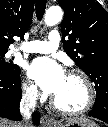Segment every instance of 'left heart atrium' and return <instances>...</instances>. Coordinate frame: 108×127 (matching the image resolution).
<instances>
[{
	"mask_svg": "<svg viewBox=\"0 0 108 127\" xmlns=\"http://www.w3.org/2000/svg\"><path fill=\"white\" fill-rule=\"evenodd\" d=\"M29 73L31 78L48 94H55L65 78L61 66L47 58L36 59L31 64Z\"/></svg>",
	"mask_w": 108,
	"mask_h": 127,
	"instance_id": "left-heart-atrium-1",
	"label": "left heart atrium"
}]
</instances>
